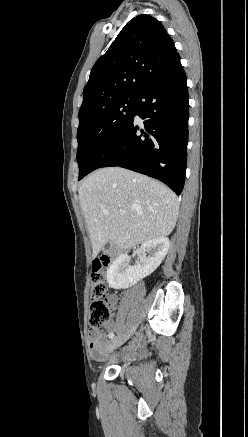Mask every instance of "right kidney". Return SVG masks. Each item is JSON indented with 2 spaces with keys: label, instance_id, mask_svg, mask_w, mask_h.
<instances>
[{
  "label": "right kidney",
  "instance_id": "ca27d5eb",
  "mask_svg": "<svg viewBox=\"0 0 248 437\" xmlns=\"http://www.w3.org/2000/svg\"><path fill=\"white\" fill-rule=\"evenodd\" d=\"M170 247L167 237L144 242L138 250L139 261L135 266L127 264L128 255H119L107 270V282L111 288L125 289L152 274L164 260ZM146 253L149 255L146 256Z\"/></svg>",
  "mask_w": 248,
  "mask_h": 437
}]
</instances>
